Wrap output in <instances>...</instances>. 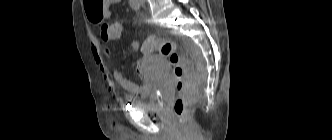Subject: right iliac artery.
I'll use <instances>...</instances> for the list:
<instances>
[{
    "instance_id": "right-iliac-artery-1",
    "label": "right iliac artery",
    "mask_w": 332,
    "mask_h": 140,
    "mask_svg": "<svg viewBox=\"0 0 332 140\" xmlns=\"http://www.w3.org/2000/svg\"><path fill=\"white\" fill-rule=\"evenodd\" d=\"M129 5L134 10H139L140 9V1L139 0H129Z\"/></svg>"
}]
</instances>
